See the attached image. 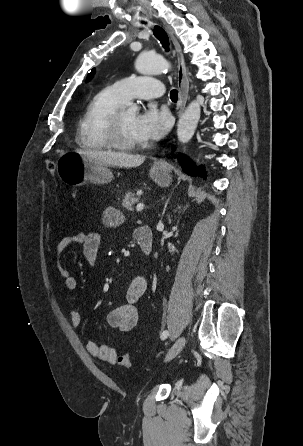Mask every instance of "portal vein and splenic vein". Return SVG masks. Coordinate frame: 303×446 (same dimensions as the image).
Masks as SVG:
<instances>
[{
    "instance_id": "obj_1",
    "label": "portal vein and splenic vein",
    "mask_w": 303,
    "mask_h": 446,
    "mask_svg": "<svg viewBox=\"0 0 303 446\" xmlns=\"http://www.w3.org/2000/svg\"><path fill=\"white\" fill-rule=\"evenodd\" d=\"M143 209H144V204L143 203L137 204V206H136V210L137 211H142Z\"/></svg>"
}]
</instances>
